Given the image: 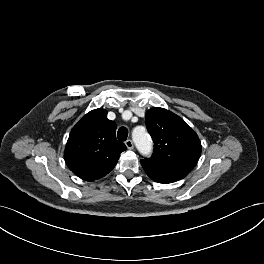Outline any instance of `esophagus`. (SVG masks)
<instances>
[{"label":"esophagus","instance_id":"1","mask_svg":"<svg viewBox=\"0 0 264 264\" xmlns=\"http://www.w3.org/2000/svg\"><path fill=\"white\" fill-rule=\"evenodd\" d=\"M125 145L128 149L134 148V144H133V141L131 139L126 140Z\"/></svg>","mask_w":264,"mask_h":264}]
</instances>
